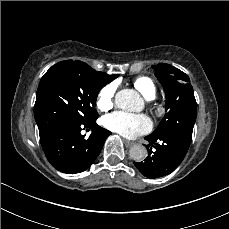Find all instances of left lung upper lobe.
Returning a JSON list of instances; mask_svg holds the SVG:
<instances>
[{"instance_id": "obj_1", "label": "left lung upper lobe", "mask_w": 229, "mask_h": 229, "mask_svg": "<svg viewBox=\"0 0 229 229\" xmlns=\"http://www.w3.org/2000/svg\"><path fill=\"white\" fill-rule=\"evenodd\" d=\"M152 68L166 94V114L151 135L174 136L191 143L197 103L188 75L165 63Z\"/></svg>"}]
</instances>
